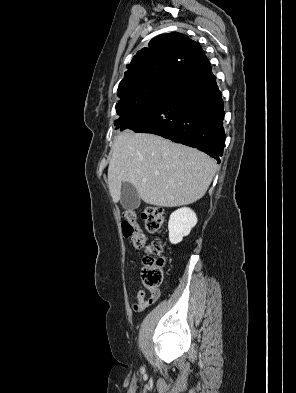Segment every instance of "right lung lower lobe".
Returning <instances> with one entry per match:
<instances>
[{
    "label": "right lung lower lobe",
    "instance_id": "1",
    "mask_svg": "<svg viewBox=\"0 0 296 393\" xmlns=\"http://www.w3.org/2000/svg\"><path fill=\"white\" fill-rule=\"evenodd\" d=\"M222 94L206 57L182 67L124 129L195 147L220 162L225 133Z\"/></svg>",
    "mask_w": 296,
    "mask_h": 393
}]
</instances>
